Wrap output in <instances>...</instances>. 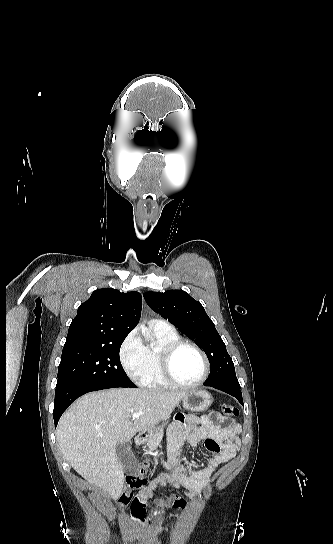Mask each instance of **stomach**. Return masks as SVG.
<instances>
[{
  "instance_id": "0dacf381",
  "label": "stomach",
  "mask_w": 333,
  "mask_h": 544,
  "mask_svg": "<svg viewBox=\"0 0 333 544\" xmlns=\"http://www.w3.org/2000/svg\"><path fill=\"white\" fill-rule=\"evenodd\" d=\"M212 401L210 393L204 390L190 391L182 399L184 409L191 412H202L207 410ZM154 430L155 429L147 430V434L149 435Z\"/></svg>"
}]
</instances>
